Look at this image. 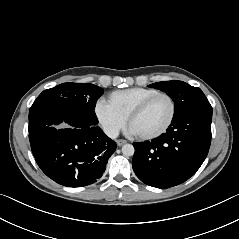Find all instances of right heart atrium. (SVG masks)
<instances>
[{"label": "right heart atrium", "instance_id": "d8ad5b80", "mask_svg": "<svg viewBox=\"0 0 239 239\" xmlns=\"http://www.w3.org/2000/svg\"><path fill=\"white\" fill-rule=\"evenodd\" d=\"M95 112L105 132L115 137L126 123V117L111 108L105 101H99Z\"/></svg>", "mask_w": 239, "mask_h": 239}]
</instances>
